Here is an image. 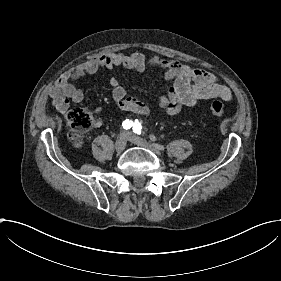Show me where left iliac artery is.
<instances>
[{
	"label": "left iliac artery",
	"mask_w": 281,
	"mask_h": 281,
	"mask_svg": "<svg viewBox=\"0 0 281 281\" xmlns=\"http://www.w3.org/2000/svg\"><path fill=\"white\" fill-rule=\"evenodd\" d=\"M141 123H139V121L136 119L135 122L133 123V131L137 134H141Z\"/></svg>",
	"instance_id": "1"
}]
</instances>
